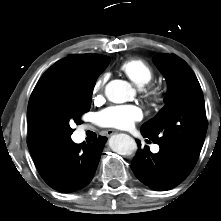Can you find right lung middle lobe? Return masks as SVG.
<instances>
[{
  "label": "right lung middle lobe",
  "mask_w": 221,
  "mask_h": 221,
  "mask_svg": "<svg viewBox=\"0 0 221 221\" xmlns=\"http://www.w3.org/2000/svg\"><path fill=\"white\" fill-rule=\"evenodd\" d=\"M109 61L107 57L102 64L79 70L59 93L41 103L29 125L30 149L42 152L71 141L70 123L80 124L81 115L90 110L96 79Z\"/></svg>",
  "instance_id": "dd1d6c3e"
}]
</instances>
